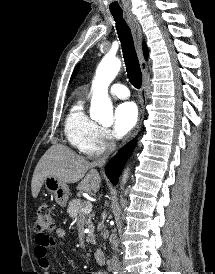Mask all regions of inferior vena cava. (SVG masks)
<instances>
[{"instance_id": "602c4592", "label": "inferior vena cava", "mask_w": 215, "mask_h": 274, "mask_svg": "<svg viewBox=\"0 0 215 274\" xmlns=\"http://www.w3.org/2000/svg\"><path fill=\"white\" fill-rule=\"evenodd\" d=\"M115 148H116V144L113 140H111L107 144V150H106V153L104 154V156L94 160L92 162V165L94 167H96V166L102 167L106 163V160L108 159L109 155L115 150ZM110 262H111V267H112L113 270H119L120 269V262L118 260L117 255H113Z\"/></svg>"}]
</instances>
